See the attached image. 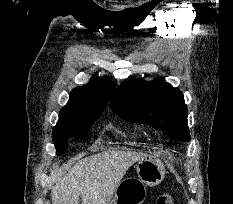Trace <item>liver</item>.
Returning <instances> with one entry per match:
<instances>
[{
  "label": "liver",
  "mask_w": 233,
  "mask_h": 204,
  "mask_svg": "<svg viewBox=\"0 0 233 204\" xmlns=\"http://www.w3.org/2000/svg\"><path fill=\"white\" fill-rule=\"evenodd\" d=\"M146 155L133 151H104L79 159L58 174L51 190L52 204H109L131 165Z\"/></svg>",
  "instance_id": "1"
}]
</instances>
